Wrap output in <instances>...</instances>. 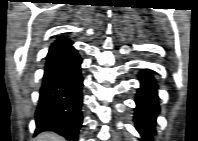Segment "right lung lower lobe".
I'll return each instance as SVG.
<instances>
[{"mask_svg":"<svg viewBox=\"0 0 198 141\" xmlns=\"http://www.w3.org/2000/svg\"><path fill=\"white\" fill-rule=\"evenodd\" d=\"M72 44L61 37L50 46L35 120L36 134L54 131L75 141L83 120V77L82 60Z\"/></svg>","mask_w":198,"mask_h":141,"instance_id":"right-lung-lower-lobe-1","label":"right lung lower lobe"}]
</instances>
